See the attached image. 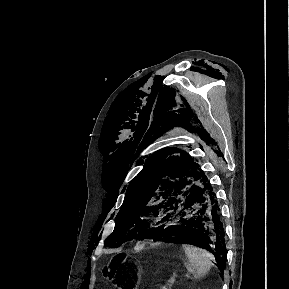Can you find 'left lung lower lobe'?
Returning <instances> with one entry per match:
<instances>
[{"mask_svg":"<svg viewBox=\"0 0 289 289\" xmlns=\"http://www.w3.org/2000/svg\"><path fill=\"white\" fill-rule=\"evenodd\" d=\"M219 205L209 180L184 189L169 206L165 222L143 239L165 236L193 238L198 247L210 251L218 260V268L224 271L226 247Z\"/></svg>","mask_w":289,"mask_h":289,"instance_id":"0a47b994","label":"left lung lower lobe"}]
</instances>
